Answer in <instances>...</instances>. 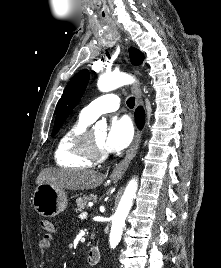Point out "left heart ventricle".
Listing matches in <instances>:
<instances>
[{
    "mask_svg": "<svg viewBox=\"0 0 221 268\" xmlns=\"http://www.w3.org/2000/svg\"><path fill=\"white\" fill-rule=\"evenodd\" d=\"M92 137L94 142L96 143V145L102 149H104L103 143H104V139H105V133L103 131H92Z\"/></svg>",
    "mask_w": 221,
    "mask_h": 268,
    "instance_id": "obj_1",
    "label": "left heart ventricle"
}]
</instances>
